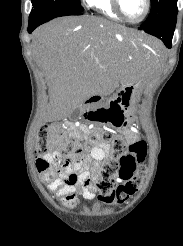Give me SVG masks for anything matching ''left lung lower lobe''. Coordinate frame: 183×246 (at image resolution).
<instances>
[{
    "mask_svg": "<svg viewBox=\"0 0 183 246\" xmlns=\"http://www.w3.org/2000/svg\"><path fill=\"white\" fill-rule=\"evenodd\" d=\"M176 17L168 20L158 26L151 28H139V30L145 31L148 34H151L159 39H161L167 48H171V42L173 38V33L176 25Z\"/></svg>",
    "mask_w": 183,
    "mask_h": 246,
    "instance_id": "1",
    "label": "left lung lower lobe"
}]
</instances>
